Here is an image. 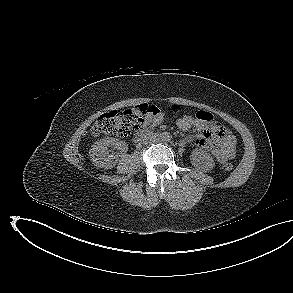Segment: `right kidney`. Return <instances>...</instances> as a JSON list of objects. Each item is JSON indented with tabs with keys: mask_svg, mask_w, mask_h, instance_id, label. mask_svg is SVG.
I'll list each match as a JSON object with an SVG mask.
<instances>
[{
	"mask_svg": "<svg viewBox=\"0 0 293 293\" xmlns=\"http://www.w3.org/2000/svg\"><path fill=\"white\" fill-rule=\"evenodd\" d=\"M109 148L125 152L128 147L124 141L116 138H104L96 141L89 151V156L97 168L111 169L117 163V156Z\"/></svg>",
	"mask_w": 293,
	"mask_h": 293,
	"instance_id": "1",
	"label": "right kidney"
}]
</instances>
